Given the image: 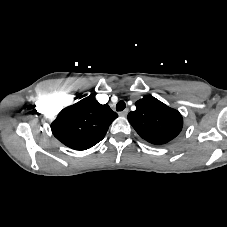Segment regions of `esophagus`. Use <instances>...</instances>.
Returning a JSON list of instances; mask_svg holds the SVG:
<instances>
[{"label": "esophagus", "instance_id": "esophagus-1", "mask_svg": "<svg viewBox=\"0 0 227 227\" xmlns=\"http://www.w3.org/2000/svg\"><path fill=\"white\" fill-rule=\"evenodd\" d=\"M128 112H129V110L128 109H125V110L121 111L119 113V115L122 116V117H125V116H127Z\"/></svg>", "mask_w": 227, "mask_h": 227}]
</instances>
